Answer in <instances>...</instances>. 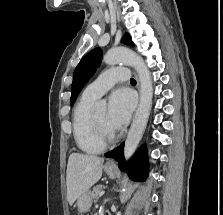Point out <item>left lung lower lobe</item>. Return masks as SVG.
I'll use <instances>...</instances> for the list:
<instances>
[{
    "label": "left lung lower lobe",
    "mask_w": 223,
    "mask_h": 215,
    "mask_svg": "<svg viewBox=\"0 0 223 215\" xmlns=\"http://www.w3.org/2000/svg\"><path fill=\"white\" fill-rule=\"evenodd\" d=\"M124 144L105 154V157L114 158L122 171H127L129 177L134 181H145L148 173L146 149L142 147L132 159L125 164L123 157Z\"/></svg>",
    "instance_id": "left-lung-lower-lobe-1"
}]
</instances>
